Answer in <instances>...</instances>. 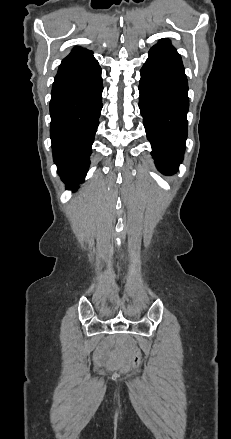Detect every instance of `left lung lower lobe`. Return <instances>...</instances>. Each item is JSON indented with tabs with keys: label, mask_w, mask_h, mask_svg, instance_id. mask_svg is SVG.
I'll use <instances>...</instances> for the list:
<instances>
[{
	"label": "left lung lower lobe",
	"mask_w": 231,
	"mask_h": 439,
	"mask_svg": "<svg viewBox=\"0 0 231 439\" xmlns=\"http://www.w3.org/2000/svg\"><path fill=\"white\" fill-rule=\"evenodd\" d=\"M139 108L156 166L165 175L178 170L187 138L188 82L180 54L153 46L143 65Z\"/></svg>",
	"instance_id": "1"
}]
</instances>
